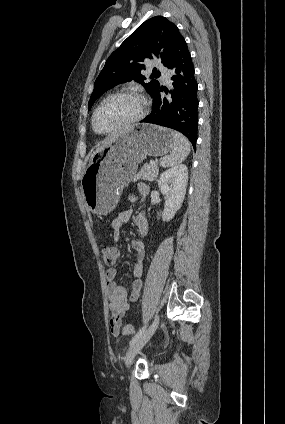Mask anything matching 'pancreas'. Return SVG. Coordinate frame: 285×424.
<instances>
[{"label":"pancreas","instance_id":"obj_1","mask_svg":"<svg viewBox=\"0 0 285 424\" xmlns=\"http://www.w3.org/2000/svg\"><path fill=\"white\" fill-rule=\"evenodd\" d=\"M158 163L155 162L153 164H145L141 168L140 172L136 174L134 181H137L139 179L146 180V181H153L158 176Z\"/></svg>","mask_w":285,"mask_h":424}]
</instances>
